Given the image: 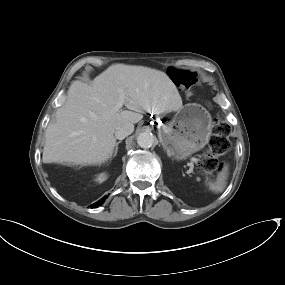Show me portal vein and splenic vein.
<instances>
[{
    "mask_svg": "<svg viewBox=\"0 0 285 285\" xmlns=\"http://www.w3.org/2000/svg\"><path fill=\"white\" fill-rule=\"evenodd\" d=\"M123 103H124V96H123V94H121V95H120V101H119V103L116 105V108H115V109H116V110H119V109L123 106ZM191 161L197 163V162H198V159L195 158V157H192V158H191Z\"/></svg>",
    "mask_w": 285,
    "mask_h": 285,
    "instance_id": "18ae733b",
    "label": "portal vein and splenic vein"
}]
</instances>
